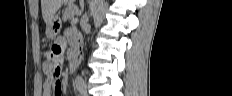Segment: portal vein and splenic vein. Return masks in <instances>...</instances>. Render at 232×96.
<instances>
[{
    "label": "portal vein and splenic vein",
    "mask_w": 232,
    "mask_h": 96,
    "mask_svg": "<svg viewBox=\"0 0 232 96\" xmlns=\"http://www.w3.org/2000/svg\"><path fill=\"white\" fill-rule=\"evenodd\" d=\"M77 22H78V18H74V19L71 21L72 24H76Z\"/></svg>",
    "instance_id": "portal-vein-and-splenic-vein-1"
}]
</instances>
